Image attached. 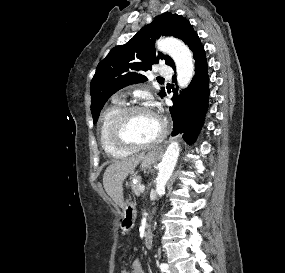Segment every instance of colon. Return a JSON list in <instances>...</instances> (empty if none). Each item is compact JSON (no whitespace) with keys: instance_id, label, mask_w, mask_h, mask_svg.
Instances as JSON below:
<instances>
[{"instance_id":"obj_1","label":"colon","mask_w":285,"mask_h":273,"mask_svg":"<svg viewBox=\"0 0 285 273\" xmlns=\"http://www.w3.org/2000/svg\"><path fill=\"white\" fill-rule=\"evenodd\" d=\"M124 271H125V268H121L118 273H123Z\"/></svg>"}]
</instances>
